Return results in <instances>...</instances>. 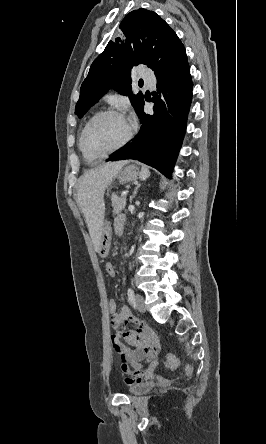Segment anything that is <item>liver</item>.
<instances>
[{
  "mask_svg": "<svg viewBox=\"0 0 266 444\" xmlns=\"http://www.w3.org/2000/svg\"><path fill=\"white\" fill-rule=\"evenodd\" d=\"M127 163H129L128 160H122L104 164L85 172L79 181L77 190L78 204L84 214L96 251H99L104 223L105 190Z\"/></svg>",
  "mask_w": 266,
  "mask_h": 444,
  "instance_id": "liver-1",
  "label": "liver"
}]
</instances>
